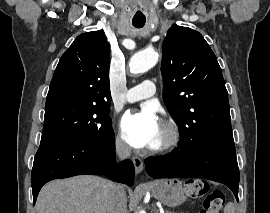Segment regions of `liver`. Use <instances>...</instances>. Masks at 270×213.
Listing matches in <instances>:
<instances>
[{"instance_id":"6515ba94","label":"liver","mask_w":270,"mask_h":213,"mask_svg":"<svg viewBox=\"0 0 270 213\" xmlns=\"http://www.w3.org/2000/svg\"><path fill=\"white\" fill-rule=\"evenodd\" d=\"M112 188V182L98 176L54 180L41 189L36 210L37 213H110Z\"/></svg>"}]
</instances>
